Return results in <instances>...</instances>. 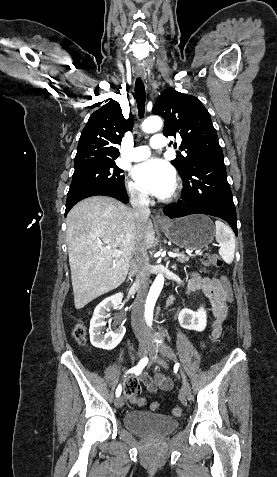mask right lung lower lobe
Listing matches in <instances>:
<instances>
[{
  "label": "right lung lower lobe",
  "instance_id": "obj_1",
  "mask_svg": "<svg viewBox=\"0 0 277 477\" xmlns=\"http://www.w3.org/2000/svg\"><path fill=\"white\" fill-rule=\"evenodd\" d=\"M96 195L110 196V197L118 199L119 201L125 204L129 202L128 195L126 194L125 189L124 190L96 189V190L83 194L78 199L73 201L70 205H66L65 216L77 202L87 197L96 196Z\"/></svg>",
  "mask_w": 277,
  "mask_h": 477
}]
</instances>
